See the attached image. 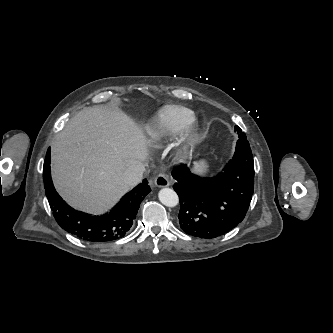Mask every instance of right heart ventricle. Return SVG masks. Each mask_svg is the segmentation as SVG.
<instances>
[{"label": "right heart ventricle", "instance_id": "right-heart-ventricle-1", "mask_svg": "<svg viewBox=\"0 0 333 333\" xmlns=\"http://www.w3.org/2000/svg\"><path fill=\"white\" fill-rule=\"evenodd\" d=\"M195 118V113L183 106L165 108L158 121L149 130L153 140L161 141L181 133Z\"/></svg>", "mask_w": 333, "mask_h": 333}]
</instances>
